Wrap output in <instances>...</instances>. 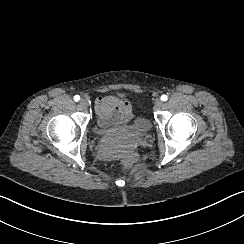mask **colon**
Masks as SVG:
<instances>
[{
	"label": "colon",
	"mask_w": 244,
	"mask_h": 244,
	"mask_svg": "<svg viewBox=\"0 0 244 244\" xmlns=\"http://www.w3.org/2000/svg\"><path fill=\"white\" fill-rule=\"evenodd\" d=\"M121 167H122V169L125 170V171H130V170L133 169V167H134V163H133V161L130 160V159H125V160L122 161V163H121Z\"/></svg>",
	"instance_id": "colon-1"
}]
</instances>
